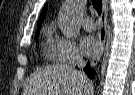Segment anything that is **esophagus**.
Masks as SVG:
<instances>
[{"mask_svg":"<svg viewBox=\"0 0 135 95\" xmlns=\"http://www.w3.org/2000/svg\"><path fill=\"white\" fill-rule=\"evenodd\" d=\"M103 10L100 16V29H99V48L93 55L91 60V66L94 67L100 61L107 38V15H108V0H102Z\"/></svg>","mask_w":135,"mask_h":95,"instance_id":"1","label":"esophagus"}]
</instances>
